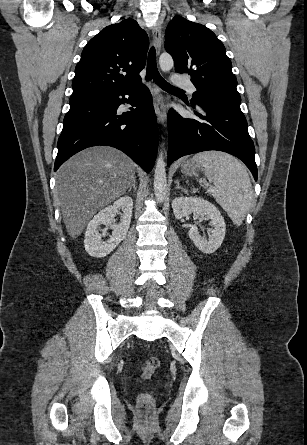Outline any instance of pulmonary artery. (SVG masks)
I'll return each instance as SVG.
<instances>
[{
  "label": "pulmonary artery",
  "instance_id": "pulmonary-artery-1",
  "mask_svg": "<svg viewBox=\"0 0 307 445\" xmlns=\"http://www.w3.org/2000/svg\"><path fill=\"white\" fill-rule=\"evenodd\" d=\"M171 81L174 84H178L179 90H192L193 88L192 81H186L184 75H174L172 76Z\"/></svg>",
  "mask_w": 307,
  "mask_h": 445
}]
</instances>
